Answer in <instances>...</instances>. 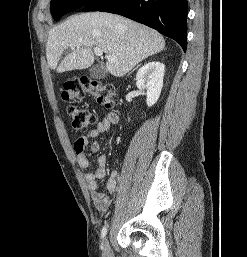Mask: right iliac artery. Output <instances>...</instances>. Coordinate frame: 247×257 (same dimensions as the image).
<instances>
[{"instance_id":"right-iliac-artery-1","label":"right iliac artery","mask_w":247,"mask_h":257,"mask_svg":"<svg viewBox=\"0 0 247 257\" xmlns=\"http://www.w3.org/2000/svg\"><path fill=\"white\" fill-rule=\"evenodd\" d=\"M107 228H108L107 225H105V226L103 227L102 232H101V238H104V237H105V235H106V233H107Z\"/></svg>"}]
</instances>
